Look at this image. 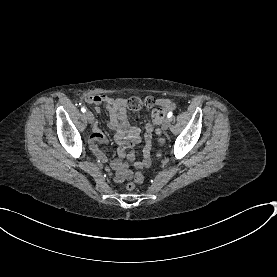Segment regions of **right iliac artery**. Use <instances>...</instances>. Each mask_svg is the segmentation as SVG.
Listing matches in <instances>:
<instances>
[{
  "mask_svg": "<svg viewBox=\"0 0 277 277\" xmlns=\"http://www.w3.org/2000/svg\"><path fill=\"white\" fill-rule=\"evenodd\" d=\"M81 111L84 113V112H86V108L85 107H82L81 108Z\"/></svg>",
  "mask_w": 277,
  "mask_h": 277,
  "instance_id": "82829eb1",
  "label": "right iliac artery"
}]
</instances>
